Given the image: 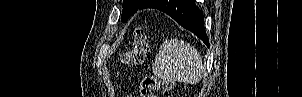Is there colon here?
Segmentation results:
<instances>
[{"label":"colon","instance_id":"1","mask_svg":"<svg viewBox=\"0 0 302 97\" xmlns=\"http://www.w3.org/2000/svg\"><path fill=\"white\" fill-rule=\"evenodd\" d=\"M148 49L149 45L144 31L141 28H136L132 47L121 55V61L126 65L140 64L144 61ZM172 86L173 84L171 82L149 76L142 80L140 94L142 97H155V93L166 92L170 90Z\"/></svg>","mask_w":302,"mask_h":97}]
</instances>
